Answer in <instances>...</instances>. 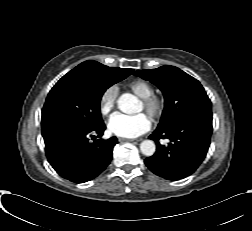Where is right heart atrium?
Here are the masks:
<instances>
[{
    "instance_id": "right-heart-atrium-1",
    "label": "right heart atrium",
    "mask_w": 252,
    "mask_h": 231,
    "mask_svg": "<svg viewBox=\"0 0 252 231\" xmlns=\"http://www.w3.org/2000/svg\"><path fill=\"white\" fill-rule=\"evenodd\" d=\"M118 96V87L112 84L106 87L99 98V110L103 116H107L114 109Z\"/></svg>"
}]
</instances>
